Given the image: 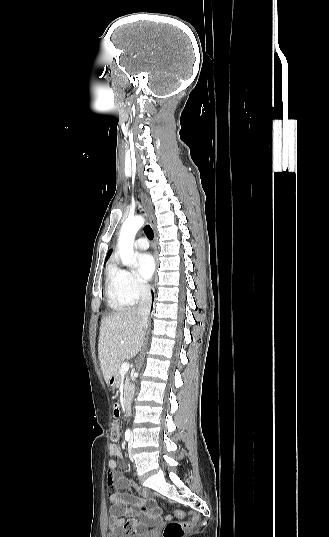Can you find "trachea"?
<instances>
[{
	"label": "trachea",
	"instance_id": "trachea-1",
	"mask_svg": "<svg viewBox=\"0 0 329 537\" xmlns=\"http://www.w3.org/2000/svg\"><path fill=\"white\" fill-rule=\"evenodd\" d=\"M145 233H146L148 239H150V240L153 239L154 233H153L152 228L149 225L145 226Z\"/></svg>",
	"mask_w": 329,
	"mask_h": 537
}]
</instances>
